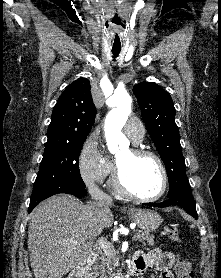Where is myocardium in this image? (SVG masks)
<instances>
[{
  "instance_id": "f54148a6",
  "label": "myocardium",
  "mask_w": 221,
  "mask_h": 278,
  "mask_svg": "<svg viewBox=\"0 0 221 278\" xmlns=\"http://www.w3.org/2000/svg\"><path fill=\"white\" fill-rule=\"evenodd\" d=\"M130 152L135 157H150L157 162V164L160 168V171H161V175H162L161 188L157 194L152 195V196H144V195H139V194L135 193L127 185V183L124 179L122 169L120 168V166L118 164H117L116 170H115V178H114L115 187L117 188V190L120 193H122L126 197H129L130 199H133V200L142 201V202H154V201L159 200L166 193L167 188H168V183H169L168 172H167V169H166V166H165L163 160L155 152L148 150V149L140 148V147L131 148Z\"/></svg>"
}]
</instances>
